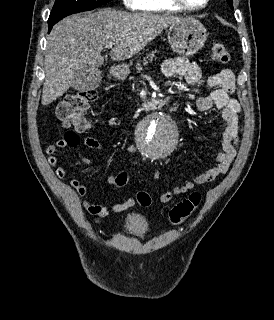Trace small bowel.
Masks as SVG:
<instances>
[{
  "instance_id": "1",
  "label": "small bowel",
  "mask_w": 274,
  "mask_h": 320,
  "mask_svg": "<svg viewBox=\"0 0 274 320\" xmlns=\"http://www.w3.org/2000/svg\"><path fill=\"white\" fill-rule=\"evenodd\" d=\"M162 71L165 76L184 77L186 82L191 86H207L212 88V92L203 97H199L196 100V108L199 111H207L215 106L221 111L223 119L225 121V128L223 130L222 140V152L215 158V163L206 171L197 175L191 181L178 185L171 190L162 193L159 197L160 202L167 203L178 195L185 194L194 189L198 185H202L211 182L216 177L224 174L231 163L233 162L240 135L243 131V125L241 122V107L239 102L232 97V94L236 86V76L231 69L224 68L215 74L204 77L201 69L196 62L190 61L184 56H176L165 60L162 66ZM75 131H85L88 126H92L94 121L92 119H74L73 121ZM120 120L118 118H111L108 120V125L111 127L118 126ZM81 143L90 149L101 150V143L93 137H85L81 140ZM67 146V143L63 140H55L54 144L49 147L45 146L43 151L49 154L48 163L51 166L57 164V157L54 155L58 148ZM127 152L134 154L137 152V148L133 145H128ZM84 164L92 166L93 163L90 159L82 157ZM57 177L63 178L65 176V169L58 167L55 170ZM118 175L127 176L125 172H121ZM109 175L106 177V182L109 185L116 184L117 176ZM160 176L159 170L154 173V179H158ZM70 186L76 191L77 195L82 200L84 208L93 216L96 220L99 218L107 217L111 214H117L126 211L134 205V199L129 198L122 203L112 204L107 206L96 200H88V189L78 179L70 180Z\"/></svg>"
}]
</instances>
